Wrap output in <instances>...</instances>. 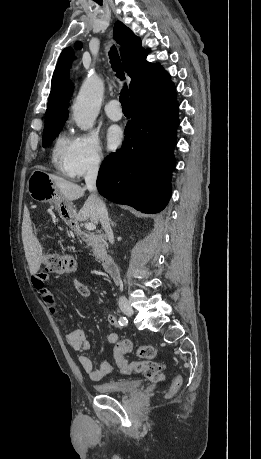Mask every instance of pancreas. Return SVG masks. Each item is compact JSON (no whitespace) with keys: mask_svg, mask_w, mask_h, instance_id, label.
<instances>
[{"mask_svg":"<svg viewBox=\"0 0 261 459\" xmlns=\"http://www.w3.org/2000/svg\"><path fill=\"white\" fill-rule=\"evenodd\" d=\"M88 244L92 247L97 260H102L106 255V241L102 235L90 234L87 236Z\"/></svg>","mask_w":261,"mask_h":459,"instance_id":"obj_1","label":"pancreas"}]
</instances>
